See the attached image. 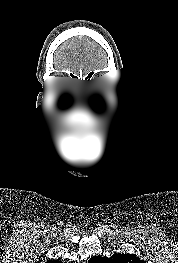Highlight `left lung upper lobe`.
<instances>
[{
	"label": "left lung upper lobe",
	"instance_id": "left-lung-upper-lobe-1",
	"mask_svg": "<svg viewBox=\"0 0 178 263\" xmlns=\"http://www.w3.org/2000/svg\"><path fill=\"white\" fill-rule=\"evenodd\" d=\"M90 263H145L143 260L137 258L134 254H114L110 258L101 256H94Z\"/></svg>",
	"mask_w": 178,
	"mask_h": 263
}]
</instances>
